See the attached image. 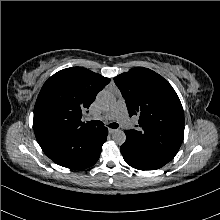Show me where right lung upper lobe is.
<instances>
[{"instance_id":"obj_1","label":"right lung upper lobe","mask_w":220,"mask_h":220,"mask_svg":"<svg viewBox=\"0 0 220 220\" xmlns=\"http://www.w3.org/2000/svg\"><path fill=\"white\" fill-rule=\"evenodd\" d=\"M109 78L82 67L63 69L43 85L34 108L33 128L43 151L80 155L73 142L97 128L81 121L82 114L108 83Z\"/></svg>"}]
</instances>
